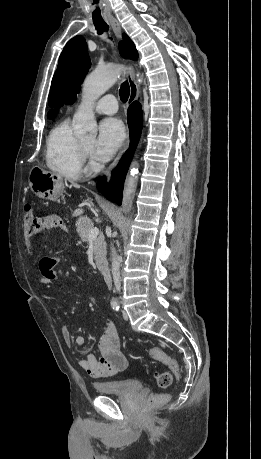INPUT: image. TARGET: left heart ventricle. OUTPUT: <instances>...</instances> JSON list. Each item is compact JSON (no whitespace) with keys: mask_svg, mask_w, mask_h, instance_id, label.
Segmentation results:
<instances>
[{"mask_svg":"<svg viewBox=\"0 0 261 459\" xmlns=\"http://www.w3.org/2000/svg\"><path fill=\"white\" fill-rule=\"evenodd\" d=\"M87 149H91V147L93 146V141L92 140H89V141H84L82 143Z\"/></svg>","mask_w":261,"mask_h":459,"instance_id":"b2bd125f","label":"left heart ventricle"}]
</instances>
